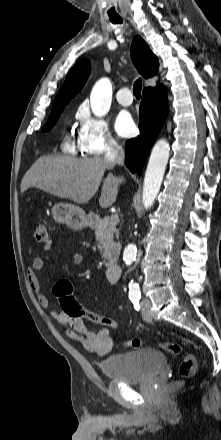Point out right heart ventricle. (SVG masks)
<instances>
[{
	"mask_svg": "<svg viewBox=\"0 0 221 440\" xmlns=\"http://www.w3.org/2000/svg\"><path fill=\"white\" fill-rule=\"evenodd\" d=\"M78 147H80L79 141L72 139L70 134H66L61 143L62 151L67 154L75 155Z\"/></svg>",
	"mask_w": 221,
	"mask_h": 440,
	"instance_id": "1",
	"label": "right heart ventricle"
}]
</instances>
